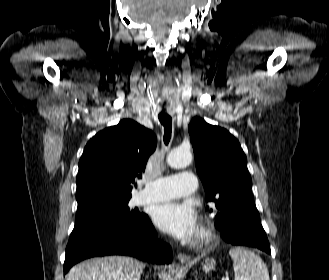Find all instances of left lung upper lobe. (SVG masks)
Masks as SVG:
<instances>
[{
  "mask_svg": "<svg viewBox=\"0 0 329 280\" xmlns=\"http://www.w3.org/2000/svg\"><path fill=\"white\" fill-rule=\"evenodd\" d=\"M188 130L205 199L215 204L214 208L206 207V210L216 212V226L221 230L227 218L252 201L247 159L238 140L224 128L196 117Z\"/></svg>",
  "mask_w": 329,
  "mask_h": 280,
  "instance_id": "1",
  "label": "left lung upper lobe"
}]
</instances>
